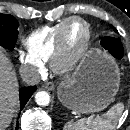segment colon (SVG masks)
Wrapping results in <instances>:
<instances>
[{"label":"colon","mask_w":130,"mask_h":130,"mask_svg":"<svg viewBox=\"0 0 130 130\" xmlns=\"http://www.w3.org/2000/svg\"><path fill=\"white\" fill-rule=\"evenodd\" d=\"M102 45L105 50H107L115 57H121V55L123 54L122 45L118 40L111 36H105L102 40Z\"/></svg>","instance_id":"colon-1"}]
</instances>
